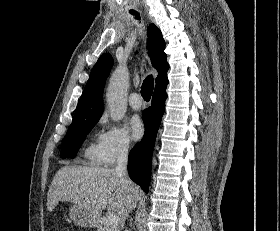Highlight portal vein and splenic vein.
Returning <instances> with one entry per match:
<instances>
[{
  "label": "portal vein and splenic vein",
  "mask_w": 280,
  "mask_h": 231,
  "mask_svg": "<svg viewBox=\"0 0 280 231\" xmlns=\"http://www.w3.org/2000/svg\"><path fill=\"white\" fill-rule=\"evenodd\" d=\"M109 223H114V225H118L120 221L119 215H116V213H111V215H107Z\"/></svg>",
  "instance_id": "obj_1"
}]
</instances>
